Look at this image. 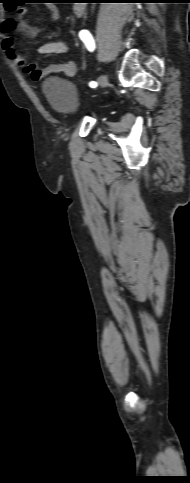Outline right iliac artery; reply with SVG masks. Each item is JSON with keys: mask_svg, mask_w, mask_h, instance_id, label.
I'll use <instances>...</instances> for the list:
<instances>
[{"mask_svg": "<svg viewBox=\"0 0 190 483\" xmlns=\"http://www.w3.org/2000/svg\"><path fill=\"white\" fill-rule=\"evenodd\" d=\"M79 37L84 42V44L86 45V47L89 51L92 52L95 49V42H94V39H93V37H92V35L90 34L89 31L81 30L79 32ZM89 86L91 88H95L97 86V82L91 81L89 83Z\"/></svg>", "mask_w": 190, "mask_h": 483, "instance_id": "right-iliac-artery-1", "label": "right iliac artery"}]
</instances>
